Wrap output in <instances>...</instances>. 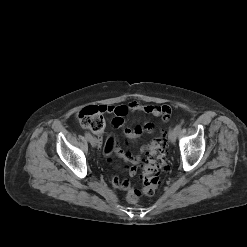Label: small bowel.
Wrapping results in <instances>:
<instances>
[{
    "mask_svg": "<svg viewBox=\"0 0 247 247\" xmlns=\"http://www.w3.org/2000/svg\"><path fill=\"white\" fill-rule=\"evenodd\" d=\"M106 113L114 115L111 124L115 128H120L124 125V117L129 112H144L151 114L155 117H161L164 121H167L171 115V108L168 105H157V104H142L139 102H131L128 105L121 106H104ZM155 125L147 122L142 125H137L134 128H125L124 132L128 139H133L140 136L144 132H153ZM144 150V149H143ZM104 155L110 160L113 153L118 155L120 158L127 161L130 166L128 167L129 175L133 176L136 174L137 165L141 158L139 155H133L129 150H123L120 148L116 138L109 137L104 145ZM111 182L114 187L120 190H128L130 183L126 179H120L118 176H113Z\"/></svg>",
    "mask_w": 247,
    "mask_h": 247,
    "instance_id": "small-bowel-1",
    "label": "small bowel"
}]
</instances>
